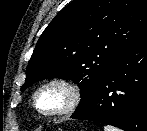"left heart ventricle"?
<instances>
[{
	"mask_svg": "<svg viewBox=\"0 0 147 131\" xmlns=\"http://www.w3.org/2000/svg\"><path fill=\"white\" fill-rule=\"evenodd\" d=\"M65 92L58 87L44 89L37 97L38 107L46 112L62 108L66 103Z\"/></svg>",
	"mask_w": 147,
	"mask_h": 131,
	"instance_id": "b2bd125f",
	"label": "left heart ventricle"
}]
</instances>
